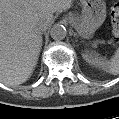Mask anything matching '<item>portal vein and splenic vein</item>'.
<instances>
[{"label": "portal vein and splenic vein", "instance_id": "portal-vein-and-splenic-vein-1", "mask_svg": "<svg viewBox=\"0 0 119 119\" xmlns=\"http://www.w3.org/2000/svg\"><path fill=\"white\" fill-rule=\"evenodd\" d=\"M92 45L95 47V46H96V43H95V42H93V43H92Z\"/></svg>", "mask_w": 119, "mask_h": 119}]
</instances>
